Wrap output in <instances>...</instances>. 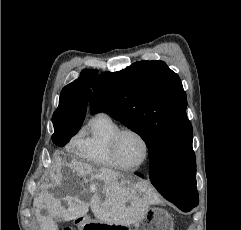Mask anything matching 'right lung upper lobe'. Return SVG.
Returning <instances> with one entry per match:
<instances>
[{"label": "right lung upper lobe", "instance_id": "obj_1", "mask_svg": "<svg viewBox=\"0 0 241 230\" xmlns=\"http://www.w3.org/2000/svg\"><path fill=\"white\" fill-rule=\"evenodd\" d=\"M98 70L84 69L80 77L65 86L60 95L59 106L53 114L52 121L82 124L88 103L90 88Z\"/></svg>", "mask_w": 241, "mask_h": 230}]
</instances>
